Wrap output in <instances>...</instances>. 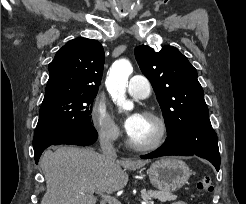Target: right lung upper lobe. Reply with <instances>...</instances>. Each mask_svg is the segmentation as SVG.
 I'll return each instance as SVG.
<instances>
[{"mask_svg":"<svg viewBox=\"0 0 246 204\" xmlns=\"http://www.w3.org/2000/svg\"><path fill=\"white\" fill-rule=\"evenodd\" d=\"M104 66V50L96 40L76 38L65 44L49 64L43 101L68 94H97Z\"/></svg>","mask_w":246,"mask_h":204,"instance_id":"cb5924a9","label":"right lung upper lobe"}]
</instances>
